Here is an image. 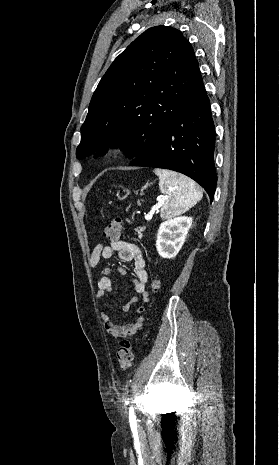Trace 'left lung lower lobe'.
Returning a JSON list of instances; mask_svg holds the SVG:
<instances>
[{
  "instance_id": "1",
  "label": "left lung lower lobe",
  "mask_w": 279,
  "mask_h": 465,
  "mask_svg": "<svg viewBox=\"0 0 279 465\" xmlns=\"http://www.w3.org/2000/svg\"><path fill=\"white\" fill-rule=\"evenodd\" d=\"M215 128L210 102L198 71L189 96L165 132L131 166L156 167L183 173L199 183L213 200Z\"/></svg>"
}]
</instances>
